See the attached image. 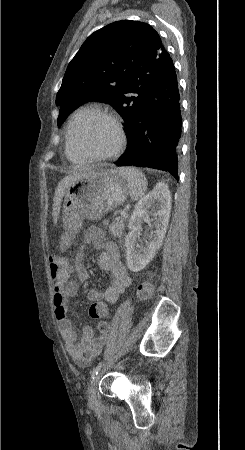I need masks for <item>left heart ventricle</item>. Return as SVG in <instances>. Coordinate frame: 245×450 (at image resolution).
<instances>
[{"label": "left heart ventricle", "instance_id": "1", "mask_svg": "<svg viewBox=\"0 0 245 450\" xmlns=\"http://www.w3.org/2000/svg\"><path fill=\"white\" fill-rule=\"evenodd\" d=\"M78 146L87 154L102 156L112 152L118 143L114 126L103 119L79 121L75 126Z\"/></svg>", "mask_w": 245, "mask_h": 450}]
</instances>
